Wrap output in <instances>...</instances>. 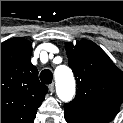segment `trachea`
Returning <instances> with one entry per match:
<instances>
[{
	"label": "trachea",
	"mask_w": 123,
	"mask_h": 123,
	"mask_svg": "<svg viewBox=\"0 0 123 123\" xmlns=\"http://www.w3.org/2000/svg\"><path fill=\"white\" fill-rule=\"evenodd\" d=\"M52 72L49 69H45L40 73L41 82L45 84H50L52 82Z\"/></svg>",
	"instance_id": "trachea-1"
}]
</instances>
